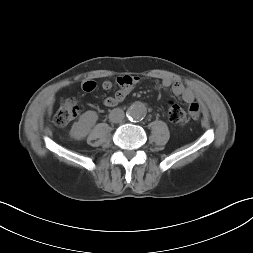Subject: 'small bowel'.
Here are the masks:
<instances>
[{
	"label": "small bowel",
	"instance_id": "1",
	"mask_svg": "<svg viewBox=\"0 0 253 253\" xmlns=\"http://www.w3.org/2000/svg\"><path fill=\"white\" fill-rule=\"evenodd\" d=\"M138 82L139 78L136 76L124 75L118 77L117 83L120 88L113 96L106 97L103 101V104L107 107H114L118 105L127 97L133 86ZM96 86V83L92 80H86L82 83V89L86 92L95 90ZM162 86L165 89H170L175 96L188 104L184 109V113L187 117H199L201 106L192 88L186 87L179 82H173L168 78L162 81ZM102 88L104 90H110L112 88V83L109 80H105L102 82Z\"/></svg>",
	"mask_w": 253,
	"mask_h": 253
}]
</instances>
